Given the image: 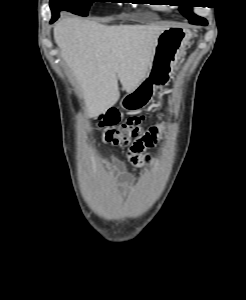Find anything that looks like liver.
<instances>
[{"label": "liver", "instance_id": "6515ba94", "mask_svg": "<svg viewBox=\"0 0 246 300\" xmlns=\"http://www.w3.org/2000/svg\"><path fill=\"white\" fill-rule=\"evenodd\" d=\"M167 28L103 25L76 17L55 25V42L80 85L89 117L116 104L118 80L128 93L141 84L151 67L157 39Z\"/></svg>", "mask_w": 246, "mask_h": 300}]
</instances>
